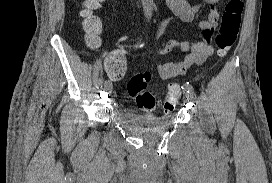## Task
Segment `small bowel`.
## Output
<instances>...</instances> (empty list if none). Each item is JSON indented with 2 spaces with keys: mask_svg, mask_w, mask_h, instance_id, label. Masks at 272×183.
Wrapping results in <instances>:
<instances>
[{
  "mask_svg": "<svg viewBox=\"0 0 272 183\" xmlns=\"http://www.w3.org/2000/svg\"><path fill=\"white\" fill-rule=\"evenodd\" d=\"M220 0H201L194 3L188 0H167L171 13L186 23L194 20L196 14L202 6V3L211 5L207 18L199 23L202 31L200 41L179 42L170 41L165 47L159 50L160 53H167L174 48L181 50H190V54L182 62H165L158 67V73L162 80L168 81L179 77L192 65H201L207 58L213 54V37L216 36L218 30L219 13L214 5ZM126 70V59L122 49L114 50L106 59V71L113 80H119L123 77ZM174 86L171 85L170 88Z\"/></svg>",
  "mask_w": 272,
  "mask_h": 183,
  "instance_id": "obj_1",
  "label": "small bowel"
}]
</instances>
